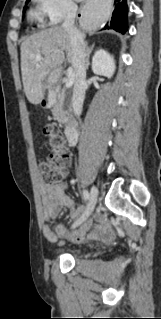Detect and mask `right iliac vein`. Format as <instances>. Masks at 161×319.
<instances>
[{
    "mask_svg": "<svg viewBox=\"0 0 161 319\" xmlns=\"http://www.w3.org/2000/svg\"><path fill=\"white\" fill-rule=\"evenodd\" d=\"M98 198V189L92 187L90 200L85 213L73 224L72 228L79 226L94 210Z\"/></svg>",
    "mask_w": 161,
    "mask_h": 319,
    "instance_id": "right-iliac-vein-1",
    "label": "right iliac vein"
}]
</instances>
